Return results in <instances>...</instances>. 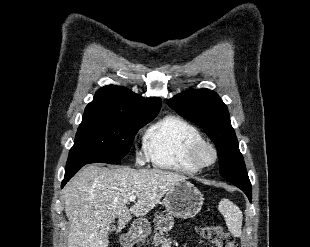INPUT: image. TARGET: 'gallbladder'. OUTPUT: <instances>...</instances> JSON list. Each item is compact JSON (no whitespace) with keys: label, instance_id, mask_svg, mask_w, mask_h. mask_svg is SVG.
Segmentation results:
<instances>
[{"label":"gallbladder","instance_id":"obj_1","mask_svg":"<svg viewBox=\"0 0 310 247\" xmlns=\"http://www.w3.org/2000/svg\"><path fill=\"white\" fill-rule=\"evenodd\" d=\"M114 230V227H111L110 231H113Z\"/></svg>","mask_w":310,"mask_h":247}]
</instances>
